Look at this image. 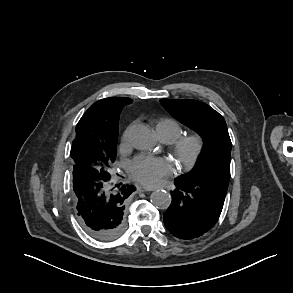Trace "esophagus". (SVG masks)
<instances>
[{
    "instance_id": "esophagus-1",
    "label": "esophagus",
    "mask_w": 293,
    "mask_h": 293,
    "mask_svg": "<svg viewBox=\"0 0 293 293\" xmlns=\"http://www.w3.org/2000/svg\"><path fill=\"white\" fill-rule=\"evenodd\" d=\"M156 189H157V187L141 186V187L138 188V191H142V192H144V191H154Z\"/></svg>"
}]
</instances>
